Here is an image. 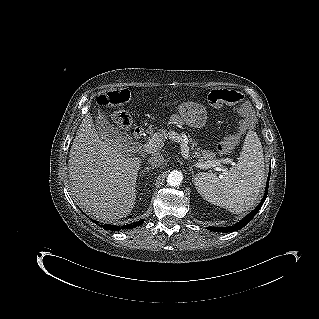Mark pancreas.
<instances>
[{"label": "pancreas", "instance_id": "obj_1", "mask_svg": "<svg viewBox=\"0 0 319 319\" xmlns=\"http://www.w3.org/2000/svg\"><path fill=\"white\" fill-rule=\"evenodd\" d=\"M162 132L163 131L155 132V129L151 128V127H149V129L147 130V133L150 136V140L153 139L155 134L162 133ZM189 142H190V149L193 151L192 152L193 157L198 159V161L200 163L206 164L207 167L210 168V167H213L212 165L215 162L219 161V160L215 159L216 154L214 152L209 151V150H203V149L199 148L198 147V143L195 140H193V139H190ZM162 145H163V138L161 139L159 148H161Z\"/></svg>", "mask_w": 319, "mask_h": 319}]
</instances>
